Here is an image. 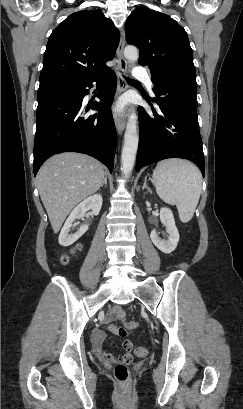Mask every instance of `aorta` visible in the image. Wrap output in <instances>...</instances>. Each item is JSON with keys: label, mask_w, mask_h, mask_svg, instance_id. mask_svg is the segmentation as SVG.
<instances>
[{"label": "aorta", "mask_w": 243, "mask_h": 409, "mask_svg": "<svg viewBox=\"0 0 243 409\" xmlns=\"http://www.w3.org/2000/svg\"><path fill=\"white\" fill-rule=\"evenodd\" d=\"M124 56L129 62L134 63L138 60L139 53L136 47L127 46L124 49ZM137 123V116L132 111L128 117L121 154V170L124 175L131 174L134 167L139 142Z\"/></svg>", "instance_id": "obj_1"}]
</instances>
